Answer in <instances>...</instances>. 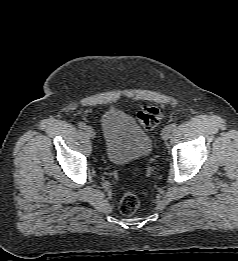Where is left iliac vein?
Segmentation results:
<instances>
[{
    "label": "left iliac vein",
    "instance_id": "left-iliac-vein-1",
    "mask_svg": "<svg viewBox=\"0 0 238 261\" xmlns=\"http://www.w3.org/2000/svg\"><path fill=\"white\" fill-rule=\"evenodd\" d=\"M172 131L173 130L171 129L170 125L165 126L163 128V130H162V133H161L162 139L163 140H168L170 138V136H171Z\"/></svg>",
    "mask_w": 238,
    "mask_h": 261
}]
</instances>
